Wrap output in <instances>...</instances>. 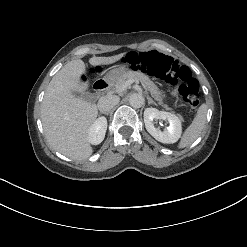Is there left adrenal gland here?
Wrapping results in <instances>:
<instances>
[{"instance_id": "1", "label": "left adrenal gland", "mask_w": 247, "mask_h": 247, "mask_svg": "<svg viewBox=\"0 0 247 247\" xmlns=\"http://www.w3.org/2000/svg\"><path fill=\"white\" fill-rule=\"evenodd\" d=\"M148 104H154L157 106L156 102H154L149 96H147Z\"/></svg>"}]
</instances>
